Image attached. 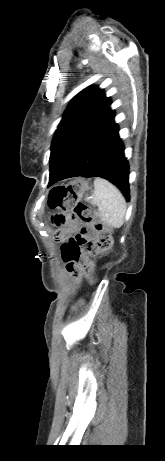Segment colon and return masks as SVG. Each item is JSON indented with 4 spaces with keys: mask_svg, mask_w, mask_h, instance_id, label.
Wrapping results in <instances>:
<instances>
[{
    "mask_svg": "<svg viewBox=\"0 0 165 461\" xmlns=\"http://www.w3.org/2000/svg\"><path fill=\"white\" fill-rule=\"evenodd\" d=\"M87 189L88 182L85 180H75L68 184L54 187L49 193L48 205L51 209H58L60 212L54 215L53 222L58 227H64L70 221L79 219L86 224L93 225L96 238L94 241L88 242L84 248L89 251L95 249L106 251L112 244L111 228L101 220L95 219L90 209L78 201L79 196ZM84 267L86 273L91 274V266L86 264ZM83 305L84 301L82 299L77 300L73 307L74 311L80 310Z\"/></svg>",
    "mask_w": 165,
    "mask_h": 461,
    "instance_id": "1",
    "label": "colon"
}]
</instances>
